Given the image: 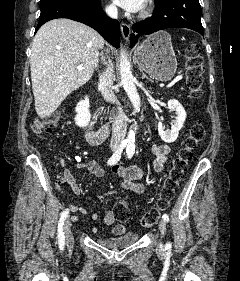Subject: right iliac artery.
Wrapping results in <instances>:
<instances>
[{
	"mask_svg": "<svg viewBox=\"0 0 240 281\" xmlns=\"http://www.w3.org/2000/svg\"><path fill=\"white\" fill-rule=\"evenodd\" d=\"M126 144L127 143H124V142L120 144V146L115 151V153L109 158V160L107 162L108 165H114L120 160L121 154L123 152V149L126 147ZM68 214H69V210L65 209L62 212L61 217L59 219V223H58V243H59V247L61 249H63V247L65 245V236H64V232H63V225H64V221L66 220Z\"/></svg>",
	"mask_w": 240,
	"mask_h": 281,
	"instance_id": "obj_1",
	"label": "right iliac artery"
}]
</instances>
